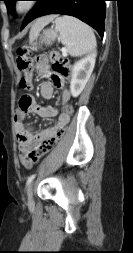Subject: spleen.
<instances>
[{
	"label": "spleen",
	"mask_w": 133,
	"mask_h": 253,
	"mask_svg": "<svg viewBox=\"0 0 133 253\" xmlns=\"http://www.w3.org/2000/svg\"><path fill=\"white\" fill-rule=\"evenodd\" d=\"M55 29L59 32L61 43L73 57L94 51L96 38L89 25L79 19L64 15L55 19Z\"/></svg>",
	"instance_id": "obj_1"
}]
</instances>
